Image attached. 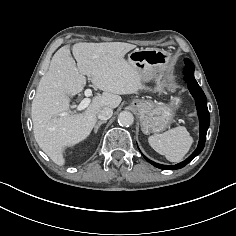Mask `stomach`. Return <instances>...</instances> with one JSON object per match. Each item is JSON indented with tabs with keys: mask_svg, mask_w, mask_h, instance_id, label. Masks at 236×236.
Segmentation results:
<instances>
[{
	"mask_svg": "<svg viewBox=\"0 0 236 236\" xmlns=\"http://www.w3.org/2000/svg\"><path fill=\"white\" fill-rule=\"evenodd\" d=\"M128 62L143 74L142 82L148 83L158 72L165 70L168 58L166 53L158 49H135L128 55ZM180 103L179 97H172L169 104L135 100L132 106L138 113L142 131L147 134L167 128Z\"/></svg>",
	"mask_w": 236,
	"mask_h": 236,
	"instance_id": "obj_1",
	"label": "stomach"
}]
</instances>
